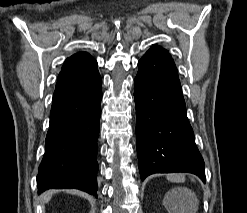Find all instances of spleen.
<instances>
[{
	"label": "spleen",
	"instance_id": "1",
	"mask_svg": "<svg viewBox=\"0 0 247 213\" xmlns=\"http://www.w3.org/2000/svg\"><path fill=\"white\" fill-rule=\"evenodd\" d=\"M167 179L169 181H172V182H184L185 177L182 174H169V175H167ZM173 194H174V192L169 193V196L173 199H171V201L168 205V208H169L170 213H178L176 208L178 207V205L183 204V201L178 200V199H174L175 197ZM195 210H196L195 208H191L190 213H195Z\"/></svg>",
	"mask_w": 247,
	"mask_h": 213
}]
</instances>
